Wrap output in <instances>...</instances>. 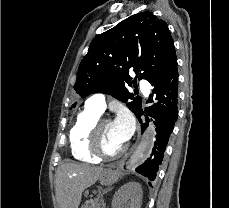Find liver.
Returning <instances> with one entry per match:
<instances>
[{
    "instance_id": "liver-1",
    "label": "liver",
    "mask_w": 229,
    "mask_h": 208,
    "mask_svg": "<svg viewBox=\"0 0 229 208\" xmlns=\"http://www.w3.org/2000/svg\"><path fill=\"white\" fill-rule=\"evenodd\" d=\"M103 168L88 164H62L56 172L58 208H78L82 192L97 182Z\"/></svg>"
}]
</instances>
